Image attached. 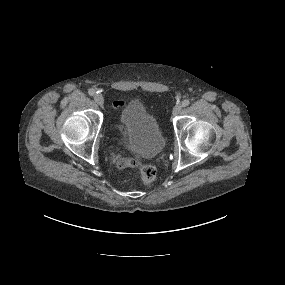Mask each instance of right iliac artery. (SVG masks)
<instances>
[{
    "label": "right iliac artery",
    "mask_w": 285,
    "mask_h": 285,
    "mask_svg": "<svg viewBox=\"0 0 285 285\" xmlns=\"http://www.w3.org/2000/svg\"><path fill=\"white\" fill-rule=\"evenodd\" d=\"M88 93H89L90 96H94V95L96 94V92L94 91V89H90V90L88 91Z\"/></svg>",
    "instance_id": "right-iliac-artery-1"
}]
</instances>
